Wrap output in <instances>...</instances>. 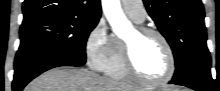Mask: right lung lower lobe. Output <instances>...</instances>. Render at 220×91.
Here are the masks:
<instances>
[{"instance_id": "right-lung-lower-lobe-1", "label": "right lung lower lobe", "mask_w": 220, "mask_h": 91, "mask_svg": "<svg viewBox=\"0 0 220 91\" xmlns=\"http://www.w3.org/2000/svg\"><path fill=\"white\" fill-rule=\"evenodd\" d=\"M86 59L55 48L18 51L15 58L13 91H21L32 79L54 67L82 66Z\"/></svg>"}]
</instances>
